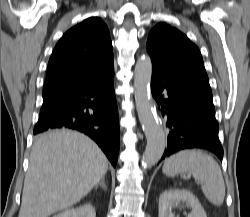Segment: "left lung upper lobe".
Instances as JSON below:
<instances>
[{"label":"left lung upper lobe","mask_w":250,"mask_h":217,"mask_svg":"<svg viewBox=\"0 0 250 217\" xmlns=\"http://www.w3.org/2000/svg\"><path fill=\"white\" fill-rule=\"evenodd\" d=\"M147 51L160 65L206 73L198 47L179 30L165 23L157 24L149 33Z\"/></svg>","instance_id":"1"}]
</instances>
